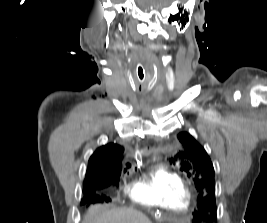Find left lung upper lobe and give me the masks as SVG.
<instances>
[{
	"instance_id": "5c2ea615",
	"label": "left lung upper lobe",
	"mask_w": 267,
	"mask_h": 223,
	"mask_svg": "<svg viewBox=\"0 0 267 223\" xmlns=\"http://www.w3.org/2000/svg\"><path fill=\"white\" fill-rule=\"evenodd\" d=\"M178 139L183 144V150L179 151L171 163L181 166V171H185L188 177H192L196 189L200 195H205L197 206H188V211H197L195 217L213 221L216 218L215 204V184H214V168L211 160L204 148L187 132H181Z\"/></svg>"
}]
</instances>
